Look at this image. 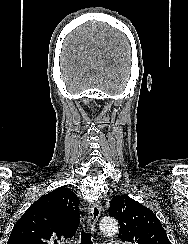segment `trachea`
Returning <instances> with one entry per match:
<instances>
[{"mask_svg": "<svg viewBox=\"0 0 188 244\" xmlns=\"http://www.w3.org/2000/svg\"><path fill=\"white\" fill-rule=\"evenodd\" d=\"M91 238H92V233H89L87 231H82L81 244H93Z\"/></svg>", "mask_w": 188, "mask_h": 244, "instance_id": "obj_1", "label": "trachea"}]
</instances>
